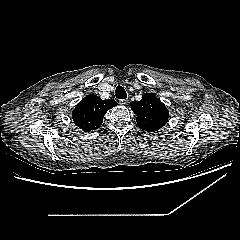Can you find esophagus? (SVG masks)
<instances>
[{
	"instance_id": "1",
	"label": "esophagus",
	"mask_w": 240,
	"mask_h": 240,
	"mask_svg": "<svg viewBox=\"0 0 240 240\" xmlns=\"http://www.w3.org/2000/svg\"><path fill=\"white\" fill-rule=\"evenodd\" d=\"M127 102H128L127 99H120V100H119V104H120V105H126Z\"/></svg>"
}]
</instances>
